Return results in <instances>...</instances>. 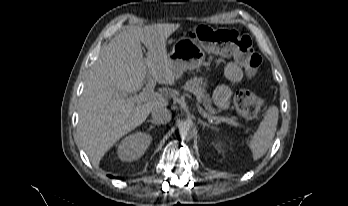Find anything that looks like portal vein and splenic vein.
<instances>
[{
    "instance_id": "obj_1",
    "label": "portal vein and splenic vein",
    "mask_w": 348,
    "mask_h": 206,
    "mask_svg": "<svg viewBox=\"0 0 348 206\" xmlns=\"http://www.w3.org/2000/svg\"><path fill=\"white\" fill-rule=\"evenodd\" d=\"M155 84H156L155 79L149 78L148 84L143 88V90L140 94L134 95V96H129V97L125 96V97L136 102V103H142V102H146L149 100L161 98L162 97L161 93L159 94V93L154 92ZM197 106H198L199 113L204 118H208L211 121H216V123H220V122L232 123V121L229 118L210 116L199 105H197Z\"/></svg>"
}]
</instances>
